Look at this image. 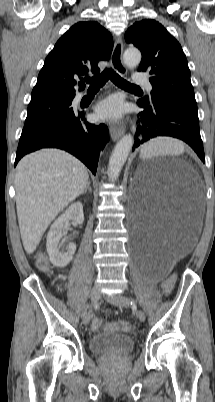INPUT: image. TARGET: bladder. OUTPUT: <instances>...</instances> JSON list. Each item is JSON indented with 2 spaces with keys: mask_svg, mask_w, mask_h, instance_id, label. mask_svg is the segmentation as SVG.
<instances>
[{
  "mask_svg": "<svg viewBox=\"0 0 215 402\" xmlns=\"http://www.w3.org/2000/svg\"><path fill=\"white\" fill-rule=\"evenodd\" d=\"M133 339L124 334L101 332L90 338V350L97 355L125 356L134 349Z\"/></svg>",
  "mask_w": 215,
  "mask_h": 402,
  "instance_id": "31cf9c89",
  "label": "bladder"
}]
</instances>
